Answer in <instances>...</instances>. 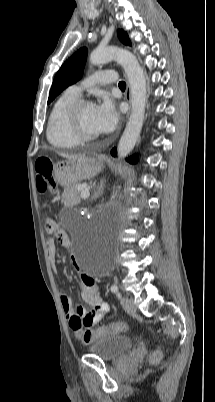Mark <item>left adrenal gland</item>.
Returning a JSON list of instances; mask_svg holds the SVG:
<instances>
[{
    "mask_svg": "<svg viewBox=\"0 0 215 402\" xmlns=\"http://www.w3.org/2000/svg\"><path fill=\"white\" fill-rule=\"evenodd\" d=\"M104 186H105V180L102 179L100 181V184L97 186L96 191L94 192V195L92 197V199H97L104 191Z\"/></svg>",
    "mask_w": 215,
    "mask_h": 402,
    "instance_id": "obj_1",
    "label": "left adrenal gland"
}]
</instances>
